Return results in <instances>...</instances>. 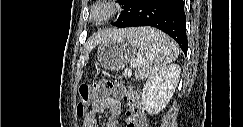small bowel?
I'll use <instances>...</instances> for the list:
<instances>
[{
    "instance_id": "1",
    "label": "small bowel",
    "mask_w": 243,
    "mask_h": 127,
    "mask_svg": "<svg viewBox=\"0 0 243 127\" xmlns=\"http://www.w3.org/2000/svg\"><path fill=\"white\" fill-rule=\"evenodd\" d=\"M103 110L108 111V117L105 126L117 127L122 107L120 101H116L111 97H106L92 103L90 111L86 114L84 118L83 126L94 127L97 122V114Z\"/></svg>"
}]
</instances>
